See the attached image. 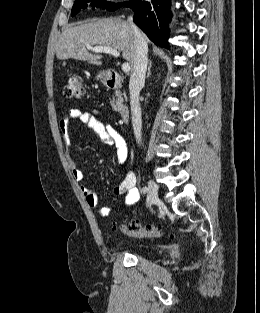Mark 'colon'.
Segmentation results:
<instances>
[{
	"instance_id": "obj_1",
	"label": "colon",
	"mask_w": 260,
	"mask_h": 313,
	"mask_svg": "<svg viewBox=\"0 0 260 313\" xmlns=\"http://www.w3.org/2000/svg\"><path fill=\"white\" fill-rule=\"evenodd\" d=\"M63 94L66 98H82L85 94L83 81L80 76L70 77L64 86ZM113 226L127 235L135 238H160L164 235V229L156 225H141L138 222L128 224L114 222Z\"/></svg>"
}]
</instances>
